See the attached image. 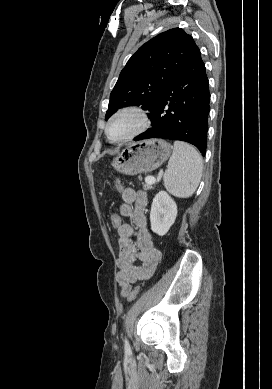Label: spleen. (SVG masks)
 <instances>
[{
    "label": "spleen",
    "instance_id": "3e777b00",
    "mask_svg": "<svg viewBox=\"0 0 272 389\" xmlns=\"http://www.w3.org/2000/svg\"><path fill=\"white\" fill-rule=\"evenodd\" d=\"M203 161L191 145L175 141L173 154L164 174V186L174 196L188 198L196 191L202 176Z\"/></svg>",
    "mask_w": 272,
    "mask_h": 389
}]
</instances>
